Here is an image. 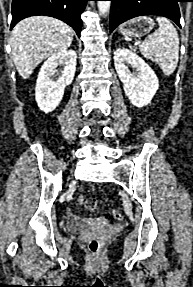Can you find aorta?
<instances>
[{
  "label": "aorta",
  "instance_id": "obj_1",
  "mask_svg": "<svg viewBox=\"0 0 193 287\" xmlns=\"http://www.w3.org/2000/svg\"><path fill=\"white\" fill-rule=\"evenodd\" d=\"M111 2L110 1H98V10L101 15H106L109 12Z\"/></svg>",
  "mask_w": 193,
  "mask_h": 287
}]
</instances>
